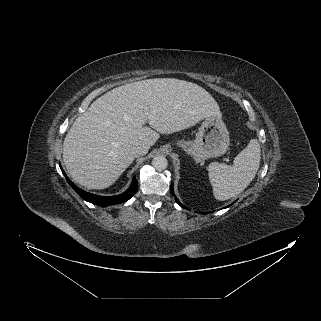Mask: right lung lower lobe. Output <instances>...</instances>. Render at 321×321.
<instances>
[{
  "mask_svg": "<svg viewBox=\"0 0 321 321\" xmlns=\"http://www.w3.org/2000/svg\"><path fill=\"white\" fill-rule=\"evenodd\" d=\"M60 168L62 170V173L64 174L66 180L68 181V183L70 184V186L86 201L101 206V207H106L109 205H114V204H119L122 202H125L127 200H129L137 191V180L136 177L133 178L132 184L129 187V189L120 195H116V196H99V195H95V194H91L88 193L86 191L81 190L80 188H78L65 174V172L63 171L61 165Z\"/></svg>",
  "mask_w": 321,
  "mask_h": 321,
  "instance_id": "1",
  "label": "right lung lower lobe"
}]
</instances>
